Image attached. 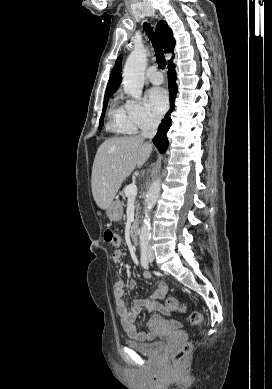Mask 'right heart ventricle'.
Wrapping results in <instances>:
<instances>
[{
	"label": "right heart ventricle",
	"mask_w": 272,
	"mask_h": 389,
	"mask_svg": "<svg viewBox=\"0 0 272 389\" xmlns=\"http://www.w3.org/2000/svg\"><path fill=\"white\" fill-rule=\"evenodd\" d=\"M108 129L114 134H131L136 130L133 127L124 105L114 98L108 111Z\"/></svg>",
	"instance_id": "e07e8e85"
}]
</instances>
